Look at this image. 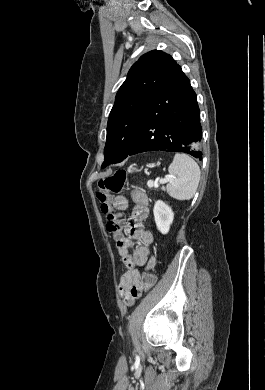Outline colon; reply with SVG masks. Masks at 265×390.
<instances>
[{
    "instance_id": "1",
    "label": "colon",
    "mask_w": 265,
    "mask_h": 390,
    "mask_svg": "<svg viewBox=\"0 0 265 390\" xmlns=\"http://www.w3.org/2000/svg\"><path fill=\"white\" fill-rule=\"evenodd\" d=\"M127 173L124 170H117L113 175L102 179L97 184V198L101 202V209L107 215L106 229L115 240L123 235L124 224L120 216L113 212L110 205V198L113 194L120 193L126 184ZM156 282L153 273H146L141 278L143 291L150 290Z\"/></svg>"
}]
</instances>
